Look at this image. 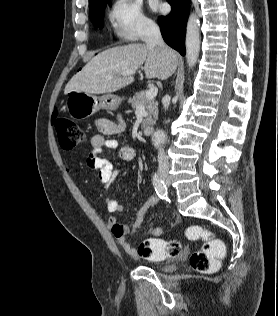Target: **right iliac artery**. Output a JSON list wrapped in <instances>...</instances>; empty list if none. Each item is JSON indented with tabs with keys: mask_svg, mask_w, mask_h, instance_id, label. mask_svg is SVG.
Listing matches in <instances>:
<instances>
[{
	"mask_svg": "<svg viewBox=\"0 0 278 316\" xmlns=\"http://www.w3.org/2000/svg\"><path fill=\"white\" fill-rule=\"evenodd\" d=\"M153 185H154L157 195L161 199L167 198V187L158 173H155L153 176Z\"/></svg>",
	"mask_w": 278,
	"mask_h": 316,
	"instance_id": "82829eb1",
	"label": "right iliac artery"
}]
</instances>
